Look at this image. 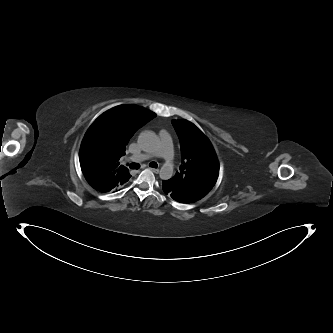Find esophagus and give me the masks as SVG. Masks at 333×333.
<instances>
[{"instance_id":"34e87169","label":"esophagus","mask_w":333,"mask_h":333,"mask_svg":"<svg viewBox=\"0 0 333 333\" xmlns=\"http://www.w3.org/2000/svg\"><path fill=\"white\" fill-rule=\"evenodd\" d=\"M149 169H150L152 172L156 173V174L159 173V169L152 168V167H149Z\"/></svg>"}]
</instances>
